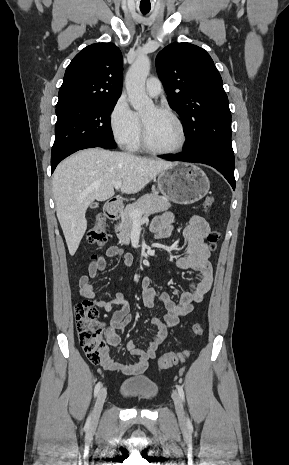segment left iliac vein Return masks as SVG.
<instances>
[{"label":"left iliac vein","instance_id":"4c4485c4","mask_svg":"<svg viewBox=\"0 0 289 465\" xmlns=\"http://www.w3.org/2000/svg\"><path fill=\"white\" fill-rule=\"evenodd\" d=\"M172 398L174 401L175 410H176L178 419L181 423H184L186 421V418H185V413H184V408H183L181 397L176 391H173Z\"/></svg>","mask_w":289,"mask_h":465}]
</instances>
